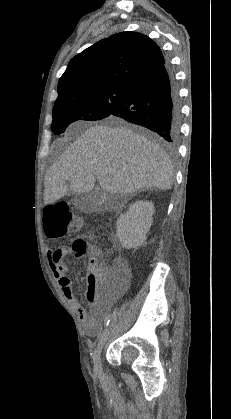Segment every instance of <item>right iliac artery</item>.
Segmentation results:
<instances>
[{"instance_id": "right-iliac-artery-1", "label": "right iliac artery", "mask_w": 231, "mask_h": 419, "mask_svg": "<svg viewBox=\"0 0 231 419\" xmlns=\"http://www.w3.org/2000/svg\"><path fill=\"white\" fill-rule=\"evenodd\" d=\"M109 322H110V317H109V316H107V317L105 318V320H104V325H105V326H108V325H109Z\"/></svg>"}]
</instances>
